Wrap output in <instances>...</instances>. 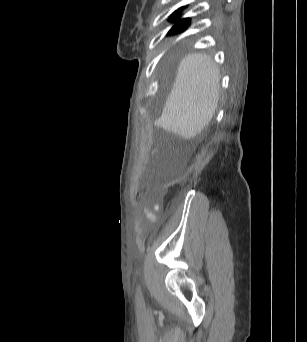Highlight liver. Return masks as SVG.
Returning <instances> with one entry per match:
<instances>
[{
  "mask_svg": "<svg viewBox=\"0 0 307 342\" xmlns=\"http://www.w3.org/2000/svg\"><path fill=\"white\" fill-rule=\"evenodd\" d=\"M220 70L207 54H187L156 120L165 132L191 140L211 122L219 102Z\"/></svg>",
  "mask_w": 307,
  "mask_h": 342,
  "instance_id": "6515ba94",
  "label": "liver"
}]
</instances>
